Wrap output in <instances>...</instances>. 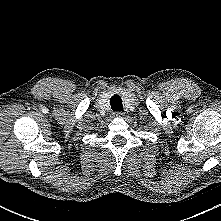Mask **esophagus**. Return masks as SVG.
<instances>
[{"instance_id": "34e87169", "label": "esophagus", "mask_w": 221, "mask_h": 221, "mask_svg": "<svg viewBox=\"0 0 221 221\" xmlns=\"http://www.w3.org/2000/svg\"><path fill=\"white\" fill-rule=\"evenodd\" d=\"M113 116H114V117H118V118H122V117H124V113H123V112H115V113L113 114Z\"/></svg>"}]
</instances>
